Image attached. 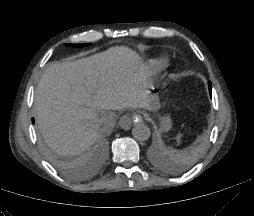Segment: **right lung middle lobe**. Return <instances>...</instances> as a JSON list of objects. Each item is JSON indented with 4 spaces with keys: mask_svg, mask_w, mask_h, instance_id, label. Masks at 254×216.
<instances>
[{
    "mask_svg": "<svg viewBox=\"0 0 254 216\" xmlns=\"http://www.w3.org/2000/svg\"><path fill=\"white\" fill-rule=\"evenodd\" d=\"M67 45L72 46V47H83V46H87L89 44H79V45H77V44H67Z\"/></svg>",
    "mask_w": 254,
    "mask_h": 216,
    "instance_id": "dd1d6c3e",
    "label": "right lung middle lobe"
}]
</instances>
